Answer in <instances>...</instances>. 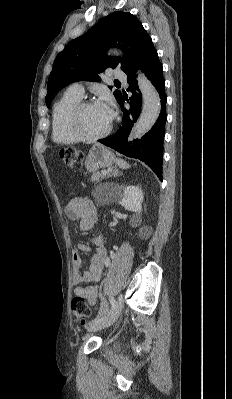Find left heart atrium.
Returning <instances> with one entry per match:
<instances>
[{
	"mask_svg": "<svg viewBox=\"0 0 232 399\" xmlns=\"http://www.w3.org/2000/svg\"><path fill=\"white\" fill-rule=\"evenodd\" d=\"M96 105L106 120L111 123L115 117V110L112 101L110 99H106L104 101L98 102Z\"/></svg>",
	"mask_w": 232,
	"mask_h": 399,
	"instance_id": "39dd6f15",
	"label": "left heart atrium"
}]
</instances>
